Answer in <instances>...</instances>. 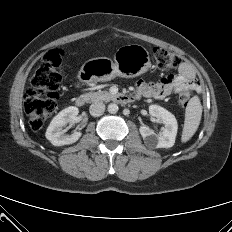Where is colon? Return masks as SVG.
<instances>
[{"label": "colon", "instance_id": "5ec220e1", "mask_svg": "<svg viewBox=\"0 0 232 232\" xmlns=\"http://www.w3.org/2000/svg\"><path fill=\"white\" fill-rule=\"evenodd\" d=\"M152 54L157 67L161 70L172 69L180 62L175 54L162 47H154ZM61 62L59 50L49 51L32 77L31 88L25 96L24 109L30 127L34 131L41 129L56 109V99L62 82ZM191 96L190 88L181 89L178 94L179 104L187 106Z\"/></svg>", "mask_w": 232, "mask_h": 232}]
</instances>
